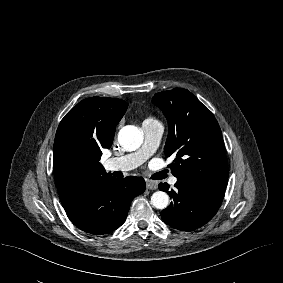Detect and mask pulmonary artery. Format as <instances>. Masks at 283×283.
<instances>
[{
	"label": "pulmonary artery",
	"mask_w": 283,
	"mask_h": 283,
	"mask_svg": "<svg viewBox=\"0 0 283 283\" xmlns=\"http://www.w3.org/2000/svg\"><path fill=\"white\" fill-rule=\"evenodd\" d=\"M144 141L141 148L133 153L112 157L106 160L104 166L108 171L127 172L133 170L144 163L158 148L163 132V125L156 120H145L142 123ZM176 178H172L174 184Z\"/></svg>",
	"instance_id": "e3ab8cb5"
}]
</instances>
